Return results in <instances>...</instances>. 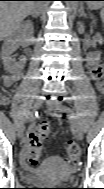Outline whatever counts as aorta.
I'll list each match as a JSON object with an SVG mask.
<instances>
[{
    "label": "aorta",
    "mask_w": 104,
    "mask_h": 189,
    "mask_svg": "<svg viewBox=\"0 0 104 189\" xmlns=\"http://www.w3.org/2000/svg\"><path fill=\"white\" fill-rule=\"evenodd\" d=\"M66 9L69 13L73 12L77 8V1H66Z\"/></svg>",
    "instance_id": "aorta-1"
}]
</instances>
